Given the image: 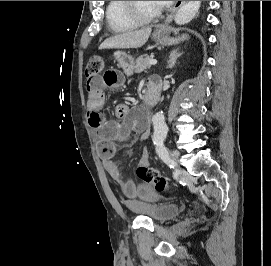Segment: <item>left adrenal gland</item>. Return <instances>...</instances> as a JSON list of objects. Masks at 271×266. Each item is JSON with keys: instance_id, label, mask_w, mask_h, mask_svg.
<instances>
[{"instance_id": "a2214340", "label": "left adrenal gland", "mask_w": 271, "mask_h": 266, "mask_svg": "<svg viewBox=\"0 0 271 266\" xmlns=\"http://www.w3.org/2000/svg\"><path fill=\"white\" fill-rule=\"evenodd\" d=\"M182 55V53L179 52L178 49L172 50L169 55V60L167 62V68L172 69L175 64L177 59Z\"/></svg>"}]
</instances>
